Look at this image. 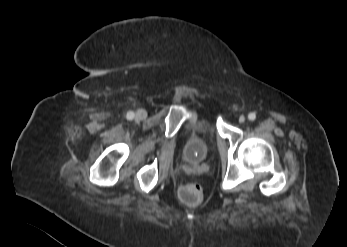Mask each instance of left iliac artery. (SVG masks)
Wrapping results in <instances>:
<instances>
[{
	"mask_svg": "<svg viewBox=\"0 0 347 247\" xmlns=\"http://www.w3.org/2000/svg\"><path fill=\"white\" fill-rule=\"evenodd\" d=\"M248 119L250 120V121H254L255 119H256V115H255V113H249L248 114Z\"/></svg>",
	"mask_w": 347,
	"mask_h": 247,
	"instance_id": "left-iliac-artery-1",
	"label": "left iliac artery"
}]
</instances>
